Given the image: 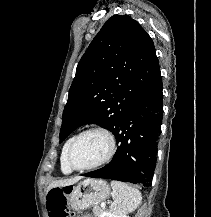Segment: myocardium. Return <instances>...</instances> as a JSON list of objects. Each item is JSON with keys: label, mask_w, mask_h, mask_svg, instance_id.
Returning <instances> with one entry per match:
<instances>
[{"label": "myocardium", "mask_w": 211, "mask_h": 217, "mask_svg": "<svg viewBox=\"0 0 211 217\" xmlns=\"http://www.w3.org/2000/svg\"><path fill=\"white\" fill-rule=\"evenodd\" d=\"M90 132H99L104 134L108 141H109V150L108 153L106 154V156L100 160L99 162L92 164V165H88V166H83V167H79L76 166L72 160V151L74 149L75 144L77 143V141L85 134L90 133ZM116 152V141L114 136L112 135V133L110 131H108L107 129L103 128V127H99V126H93V127H89L84 129L83 131H81L80 133H78L73 140L71 141L69 147H68V151H67V162L68 165L73 169V170H77V171H86V170H92V169H96L98 167H101L105 164H107L108 162L111 161V159L114 157V154Z\"/></svg>", "instance_id": "obj_1"}]
</instances>
